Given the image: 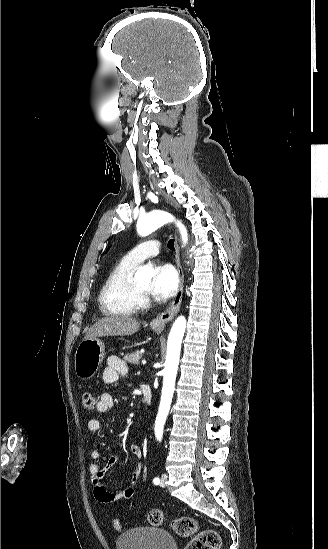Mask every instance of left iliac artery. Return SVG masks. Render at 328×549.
<instances>
[{
  "mask_svg": "<svg viewBox=\"0 0 328 549\" xmlns=\"http://www.w3.org/2000/svg\"><path fill=\"white\" fill-rule=\"evenodd\" d=\"M153 483H154L155 485L159 484V483H160V479H159V478H154Z\"/></svg>",
  "mask_w": 328,
  "mask_h": 549,
  "instance_id": "left-iliac-artery-1",
  "label": "left iliac artery"
}]
</instances>
